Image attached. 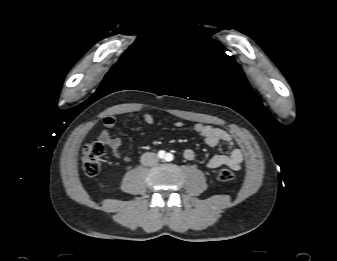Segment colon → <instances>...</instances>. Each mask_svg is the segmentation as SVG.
<instances>
[{"mask_svg": "<svg viewBox=\"0 0 337 261\" xmlns=\"http://www.w3.org/2000/svg\"><path fill=\"white\" fill-rule=\"evenodd\" d=\"M106 148L101 141L87 144L82 151V168L86 175L95 176L99 173L102 165V159ZM218 178L221 181L229 182L234 179L233 171L228 167H223L218 171Z\"/></svg>", "mask_w": 337, "mask_h": 261, "instance_id": "1", "label": "colon"}]
</instances>
